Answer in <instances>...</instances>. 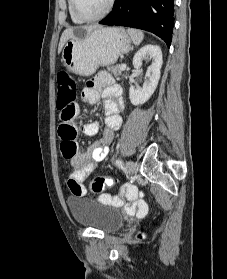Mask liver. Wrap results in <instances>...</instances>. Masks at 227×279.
<instances>
[{
  "instance_id": "obj_1",
  "label": "liver",
  "mask_w": 227,
  "mask_h": 279,
  "mask_svg": "<svg viewBox=\"0 0 227 279\" xmlns=\"http://www.w3.org/2000/svg\"><path fill=\"white\" fill-rule=\"evenodd\" d=\"M100 26L98 25H91V26H85L83 29H85L87 32L92 31L93 29L99 28ZM76 38L75 33H74V28H67L63 31L60 42L58 45V54L62 51L64 45L69 39H74Z\"/></svg>"
}]
</instances>
